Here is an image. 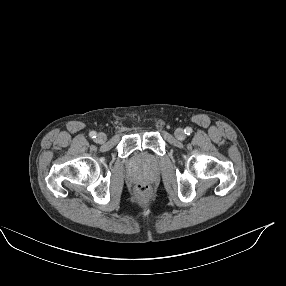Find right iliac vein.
<instances>
[{"mask_svg": "<svg viewBox=\"0 0 286 286\" xmlns=\"http://www.w3.org/2000/svg\"><path fill=\"white\" fill-rule=\"evenodd\" d=\"M96 140L98 143L102 144L107 140V136L104 133H98Z\"/></svg>", "mask_w": 286, "mask_h": 286, "instance_id": "1", "label": "right iliac vein"}]
</instances>
